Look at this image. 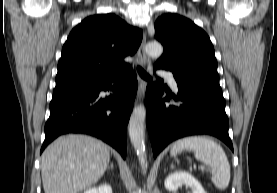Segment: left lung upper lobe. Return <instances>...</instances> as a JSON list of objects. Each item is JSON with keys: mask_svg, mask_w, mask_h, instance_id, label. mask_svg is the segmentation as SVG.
Masks as SVG:
<instances>
[{"mask_svg": "<svg viewBox=\"0 0 277 193\" xmlns=\"http://www.w3.org/2000/svg\"><path fill=\"white\" fill-rule=\"evenodd\" d=\"M155 38L164 47L155 66L172 71L176 81H219L213 45L191 20L172 13L162 15L155 23Z\"/></svg>", "mask_w": 277, "mask_h": 193, "instance_id": "1", "label": "left lung upper lobe"}]
</instances>
